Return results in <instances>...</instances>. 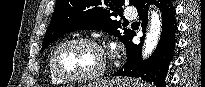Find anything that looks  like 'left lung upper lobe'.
Returning a JSON list of instances; mask_svg holds the SVG:
<instances>
[{"mask_svg": "<svg viewBox=\"0 0 205 87\" xmlns=\"http://www.w3.org/2000/svg\"><path fill=\"white\" fill-rule=\"evenodd\" d=\"M138 2L129 0V5L136 6ZM124 5L125 0H56L41 52L64 34L80 29L104 30L119 37L126 46L135 32L124 29L121 33L118 29L122 24L114 19L120 15Z\"/></svg>", "mask_w": 205, "mask_h": 87, "instance_id": "5c2ea615", "label": "left lung upper lobe"}]
</instances>
